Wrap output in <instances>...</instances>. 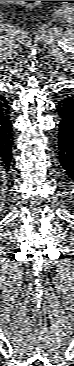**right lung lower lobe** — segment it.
<instances>
[{
	"label": "right lung lower lobe",
	"instance_id": "1",
	"mask_svg": "<svg viewBox=\"0 0 74 366\" xmlns=\"http://www.w3.org/2000/svg\"><path fill=\"white\" fill-rule=\"evenodd\" d=\"M8 104L7 99L0 93V165H3L6 169L10 166L13 145Z\"/></svg>",
	"mask_w": 74,
	"mask_h": 366
}]
</instances>
